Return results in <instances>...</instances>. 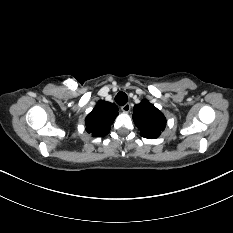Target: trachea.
I'll return each instance as SVG.
<instances>
[{"instance_id": "obj_1", "label": "trachea", "mask_w": 233, "mask_h": 233, "mask_svg": "<svg viewBox=\"0 0 233 233\" xmlns=\"http://www.w3.org/2000/svg\"><path fill=\"white\" fill-rule=\"evenodd\" d=\"M128 101V96L126 93L124 92H119L116 96H115V102L118 104V105H125Z\"/></svg>"}]
</instances>
